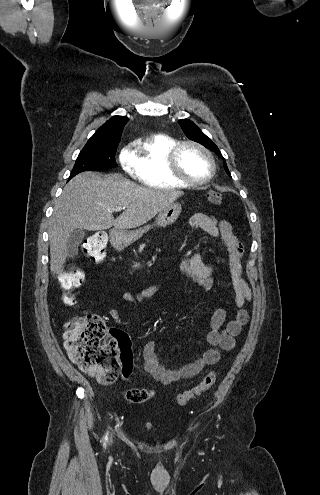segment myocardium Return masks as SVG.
Wrapping results in <instances>:
<instances>
[{
  "label": "myocardium",
  "mask_w": 320,
  "mask_h": 495,
  "mask_svg": "<svg viewBox=\"0 0 320 495\" xmlns=\"http://www.w3.org/2000/svg\"><path fill=\"white\" fill-rule=\"evenodd\" d=\"M185 147H194V148L200 150L206 156V158L208 159L209 164H210V172L207 175V177H205L203 179H192L183 173V171L180 167L179 158H180L181 151ZM167 164H168V169H169L170 173L172 174V176H174L176 179L180 180L181 182L185 183L188 186L204 185V184L210 182L216 173V162H215V159H214L212 153L204 145H202L196 141H192V140H185V141L178 142L169 151L168 156H167Z\"/></svg>",
  "instance_id": "f54148a6"
}]
</instances>
